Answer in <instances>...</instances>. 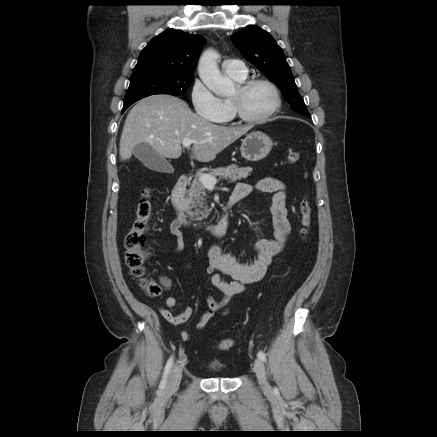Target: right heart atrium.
I'll return each instance as SVG.
<instances>
[{
    "instance_id": "right-heart-atrium-1",
    "label": "right heart atrium",
    "mask_w": 437,
    "mask_h": 437,
    "mask_svg": "<svg viewBox=\"0 0 437 437\" xmlns=\"http://www.w3.org/2000/svg\"><path fill=\"white\" fill-rule=\"evenodd\" d=\"M191 103L195 113L203 119L220 122L226 114V106L201 80L197 79L191 89Z\"/></svg>"
}]
</instances>
